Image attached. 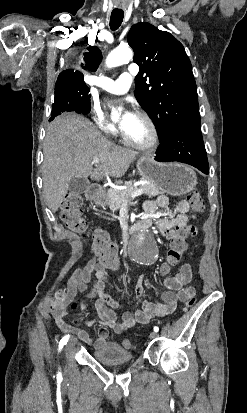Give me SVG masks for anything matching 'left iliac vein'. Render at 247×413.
Returning a JSON list of instances; mask_svg holds the SVG:
<instances>
[{
	"instance_id": "4c4485c4",
	"label": "left iliac vein",
	"mask_w": 247,
	"mask_h": 413,
	"mask_svg": "<svg viewBox=\"0 0 247 413\" xmlns=\"http://www.w3.org/2000/svg\"><path fill=\"white\" fill-rule=\"evenodd\" d=\"M156 337H157V333H156V332H151L150 335H149V338H150V339H154V338H156Z\"/></svg>"
}]
</instances>
